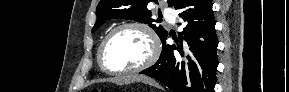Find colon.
Instances as JSON below:
<instances>
[{
  "label": "colon",
  "instance_id": "1",
  "mask_svg": "<svg viewBox=\"0 0 289 92\" xmlns=\"http://www.w3.org/2000/svg\"><path fill=\"white\" fill-rule=\"evenodd\" d=\"M91 92H99L98 89H92Z\"/></svg>",
  "mask_w": 289,
  "mask_h": 92
}]
</instances>
